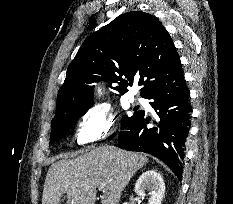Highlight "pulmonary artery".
<instances>
[{"label":"pulmonary artery","instance_id":"obj_1","mask_svg":"<svg viewBox=\"0 0 233 204\" xmlns=\"http://www.w3.org/2000/svg\"><path fill=\"white\" fill-rule=\"evenodd\" d=\"M131 100H140V98L137 96H131Z\"/></svg>","mask_w":233,"mask_h":204}]
</instances>
